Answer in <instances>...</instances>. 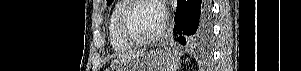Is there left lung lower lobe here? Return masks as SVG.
<instances>
[{"mask_svg": "<svg viewBox=\"0 0 301 71\" xmlns=\"http://www.w3.org/2000/svg\"><path fill=\"white\" fill-rule=\"evenodd\" d=\"M174 21V34L181 45H206L212 31L210 0H177Z\"/></svg>", "mask_w": 301, "mask_h": 71, "instance_id": "left-lung-lower-lobe-1", "label": "left lung lower lobe"}]
</instances>
